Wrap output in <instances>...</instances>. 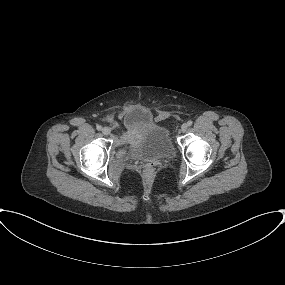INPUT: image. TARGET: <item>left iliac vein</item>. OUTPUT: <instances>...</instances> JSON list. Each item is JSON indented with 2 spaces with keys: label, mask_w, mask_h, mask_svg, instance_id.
<instances>
[{
  "label": "left iliac vein",
  "mask_w": 285,
  "mask_h": 285,
  "mask_svg": "<svg viewBox=\"0 0 285 285\" xmlns=\"http://www.w3.org/2000/svg\"><path fill=\"white\" fill-rule=\"evenodd\" d=\"M187 129H188V125H187V124H183V125L181 126V131H182V132H185Z\"/></svg>",
  "instance_id": "obj_1"
}]
</instances>
